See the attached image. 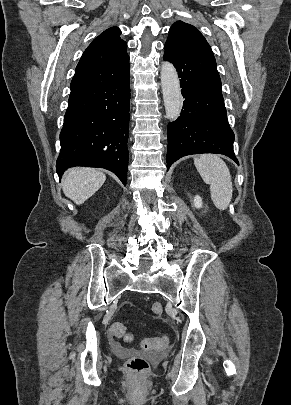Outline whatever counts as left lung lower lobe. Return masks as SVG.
Here are the masks:
<instances>
[{
	"instance_id": "1",
	"label": "left lung lower lobe",
	"mask_w": 291,
	"mask_h": 405,
	"mask_svg": "<svg viewBox=\"0 0 291 405\" xmlns=\"http://www.w3.org/2000/svg\"><path fill=\"white\" fill-rule=\"evenodd\" d=\"M163 59L175 66L185 98L180 116L168 124L167 170L179 158L200 153L223 154L239 164L214 56L166 41Z\"/></svg>"
}]
</instances>
